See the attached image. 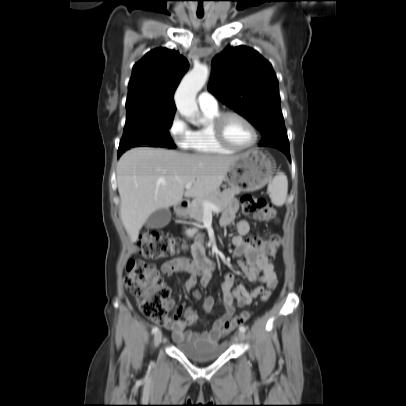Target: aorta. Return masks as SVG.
<instances>
[{
	"label": "aorta",
	"mask_w": 406,
	"mask_h": 406,
	"mask_svg": "<svg viewBox=\"0 0 406 406\" xmlns=\"http://www.w3.org/2000/svg\"><path fill=\"white\" fill-rule=\"evenodd\" d=\"M208 76L209 68L206 65H196L183 77L176 90L174 96L176 107L191 123L203 122V120H196L199 112L196 95L205 85Z\"/></svg>",
	"instance_id": "obj_1"
}]
</instances>
